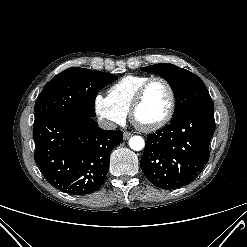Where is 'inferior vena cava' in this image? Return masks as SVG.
<instances>
[{"mask_svg":"<svg viewBox=\"0 0 247 247\" xmlns=\"http://www.w3.org/2000/svg\"><path fill=\"white\" fill-rule=\"evenodd\" d=\"M98 125L100 128L105 129V130H114L116 129V124L104 119V118H99L98 119Z\"/></svg>","mask_w":247,"mask_h":247,"instance_id":"inferior-vena-cava-1","label":"inferior vena cava"}]
</instances>
